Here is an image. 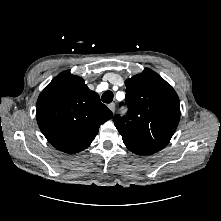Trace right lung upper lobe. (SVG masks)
Listing matches in <instances>:
<instances>
[{"mask_svg":"<svg viewBox=\"0 0 221 221\" xmlns=\"http://www.w3.org/2000/svg\"><path fill=\"white\" fill-rule=\"evenodd\" d=\"M112 112L81 77L64 71L39 95L36 118L41 132L58 150L75 154L87 148Z\"/></svg>","mask_w":221,"mask_h":221,"instance_id":"right-lung-upper-lobe-1","label":"right lung upper lobe"}]
</instances>
